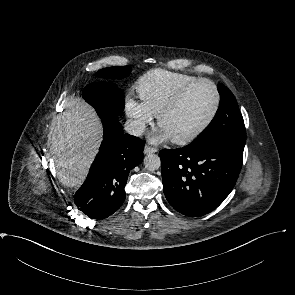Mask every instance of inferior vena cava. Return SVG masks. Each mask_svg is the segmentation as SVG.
<instances>
[{"label":"inferior vena cava","instance_id":"602c4592","mask_svg":"<svg viewBox=\"0 0 295 295\" xmlns=\"http://www.w3.org/2000/svg\"><path fill=\"white\" fill-rule=\"evenodd\" d=\"M125 131L134 136H141L145 131V124L139 120L129 119L125 122Z\"/></svg>","mask_w":295,"mask_h":295}]
</instances>
